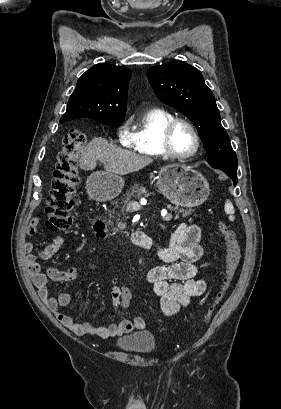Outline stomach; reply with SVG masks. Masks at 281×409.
I'll list each match as a JSON object with an SVG mask.
<instances>
[{"instance_id": "1", "label": "stomach", "mask_w": 281, "mask_h": 409, "mask_svg": "<svg viewBox=\"0 0 281 409\" xmlns=\"http://www.w3.org/2000/svg\"><path fill=\"white\" fill-rule=\"evenodd\" d=\"M124 186V180L113 172H93L87 178L86 190L90 198L106 202L117 196ZM157 186L173 205L198 207L209 196L207 178L186 164H166L158 172Z\"/></svg>"}]
</instances>
